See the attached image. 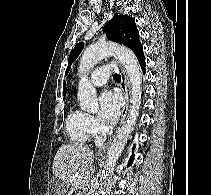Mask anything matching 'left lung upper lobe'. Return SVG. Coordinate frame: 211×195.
<instances>
[{
	"label": "left lung upper lobe",
	"instance_id": "5c2ea615",
	"mask_svg": "<svg viewBox=\"0 0 211 195\" xmlns=\"http://www.w3.org/2000/svg\"><path fill=\"white\" fill-rule=\"evenodd\" d=\"M103 31L106 33L108 39L127 46L137 57L143 54V47L139 41V32L134 18L126 15H118L116 13L113 18L104 25ZM83 47L84 43L81 42L71 51L65 75L69 72L72 62L79 56Z\"/></svg>",
	"mask_w": 211,
	"mask_h": 195
}]
</instances>
